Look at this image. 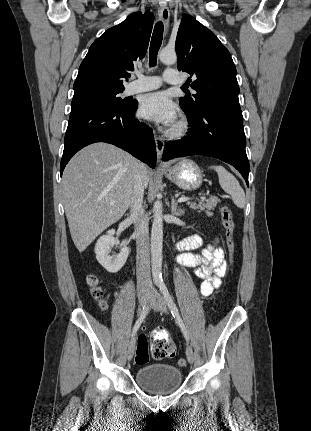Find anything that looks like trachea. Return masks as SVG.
Here are the masks:
<instances>
[{
	"label": "trachea",
	"mask_w": 311,
	"mask_h": 431,
	"mask_svg": "<svg viewBox=\"0 0 311 431\" xmlns=\"http://www.w3.org/2000/svg\"><path fill=\"white\" fill-rule=\"evenodd\" d=\"M163 23L157 22L154 31L152 34V39L150 43V49H149V65L150 67H153L156 65L157 62V54L160 49V46L162 44L163 40ZM184 91H188V87H181Z\"/></svg>",
	"instance_id": "trachea-1"
}]
</instances>
